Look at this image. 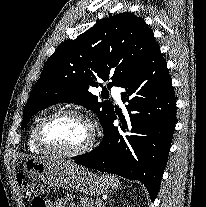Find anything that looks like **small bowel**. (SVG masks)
<instances>
[{
  "label": "small bowel",
  "mask_w": 206,
  "mask_h": 207,
  "mask_svg": "<svg viewBox=\"0 0 206 207\" xmlns=\"http://www.w3.org/2000/svg\"><path fill=\"white\" fill-rule=\"evenodd\" d=\"M68 201H69L68 198H58L55 200H49L46 204V207H66ZM68 207H77V206L73 203H70L68 204Z\"/></svg>",
  "instance_id": "c3829d8e"
}]
</instances>
